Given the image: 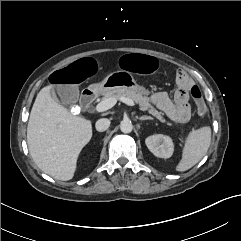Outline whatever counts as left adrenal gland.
<instances>
[{
    "label": "left adrenal gland",
    "instance_id": "left-adrenal-gland-1",
    "mask_svg": "<svg viewBox=\"0 0 241 241\" xmlns=\"http://www.w3.org/2000/svg\"><path fill=\"white\" fill-rule=\"evenodd\" d=\"M138 119L141 120V121H145V120H153L152 117H150V116H146V115L141 116V117H139Z\"/></svg>",
    "mask_w": 241,
    "mask_h": 241
}]
</instances>
